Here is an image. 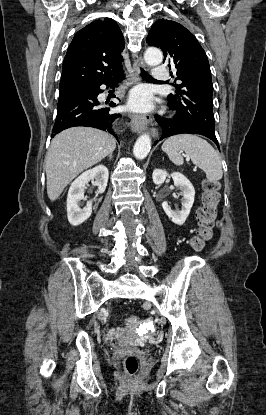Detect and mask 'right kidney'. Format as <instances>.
<instances>
[{
	"mask_svg": "<svg viewBox=\"0 0 266 415\" xmlns=\"http://www.w3.org/2000/svg\"><path fill=\"white\" fill-rule=\"evenodd\" d=\"M108 177V169L104 165H98L93 169L85 171L75 179L69 188L67 196V216L70 224L78 226L91 216L93 200L88 201L85 207H80V201L84 200L86 184L92 180L93 185L98 187L97 192L101 194L107 187ZM94 201H96V198Z\"/></svg>",
	"mask_w": 266,
	"mask_h": 415,
	"instance_id": "right-kidney-1",
	"label": "right kidney"
}]
</instances>
